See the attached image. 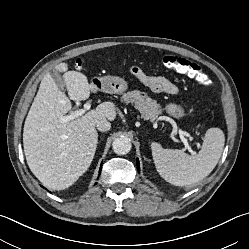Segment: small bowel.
I'll return each instance as SVG.
<instances>
[{
  "instance_id": "obj_1",
  "label": "small bowel",
  "mask_w": 249,
  "mask_h": 249,
  "mask_svg": "<svg viewBox=\"0 0 249 249\" xmlns=\"http://www.w3.org/2000/svg\"><path fill=\"white\" fill-rule=\"evenodd\" d=\"M132 73L143 85L155 93H166L169 95H178L179 93L177 86L163 76L148 74L138 67L132 68Z\"/></svg>"
}]
</instances>
